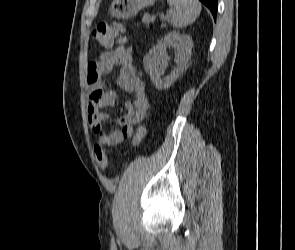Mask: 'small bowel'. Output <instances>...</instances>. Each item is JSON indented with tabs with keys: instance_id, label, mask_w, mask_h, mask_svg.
Here are the masks:
<instances>
[{
	"instance_id": "1",
	"label": "small bowel",
	"mask_w": 295,
	"mask_h": 250,
	"mask_svg": "<svg viewBox=\"0 0 295 250\" xmlns=\"http://www.w3.org/2000/svg\"><path fill=\"white\" fill-rule=\"evenodd\" d=\"M126 42L127 38H120L115 49L102 53L87 67L88 123L96 136L95 144L101 146H116L124 139H133L134 127L143 122L150 107L145 84L136 71L132 50ZM113 69L118 70L117 84L132 98L127 103L125 114L116 120L121 127L107 130L105 124L110 116L102 110L114 105L116 93L105 87L103 76Z\"/></svg>"
}]
</instances>
